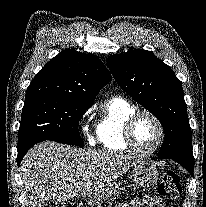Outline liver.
<instances>
[{"label":"liver","mask_w":206,"mask_h":207,"mask_svg":"<svg viewBox=\"0 0 206 207\" xmlns=\"http://www.w3.org/2000/svg\"><path fill=\"white\" fill-rule=\"evenodd\" d=\"M137 160L135 156L53 141L36 144L20 166L28 207H45L49 201L63 203L77 197H87L88 204L100 207L111 184Z\"/></svg>","instance_id":"1"}]
</instances>
